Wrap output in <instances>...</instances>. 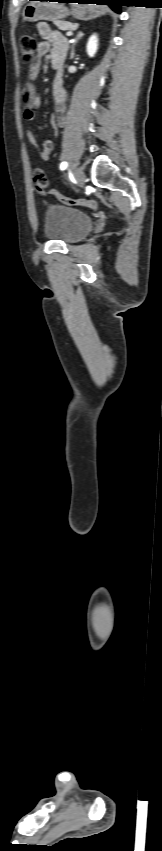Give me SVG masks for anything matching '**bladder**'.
Instances as JSON below:
<instances>
[{
	"label": "bladder",
	"mask_w": 162,
	"mask_h": 851,
	"mask_svg": "<svg viewBox=\"0 0 162 851\" xmlns=\"http://www.w3.org/2000/svg\"><path fill=\"white\" fill-rule=\"evenodd\" d=\"M92 218L79 209L62 204H49L44 213V235L48 239L75 243L92 229Z\"/></svg>",
	"instance_id": "1"
}]
</instances>
